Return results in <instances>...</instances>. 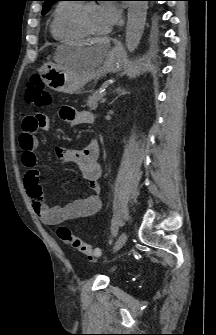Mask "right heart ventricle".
I'll use <instances>...</instances> for the list:
<instances>
[{
	"label": "right heart ventricle",
	"mask_w": 216,
	"mask_h": 335,
	"mask_svg": "<svg viewBox=\"0 0 216 335\" xmlns=\"http://www.w3.org/2000/svg\"><path fill=\"white\" fill-rule=\"evenodd\" d=\"M80 5L63 1L56 6L50 23V32L56 40L74 41L86 36L76 23Z\"/></svg>",
	"instance_id": "e07e8e85"
}]
</instances>
